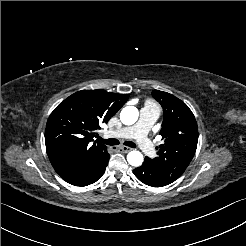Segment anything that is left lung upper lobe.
Instances as JSON below:
<instances>
[{"label": "left lung upper lobe", "instance_id": "obj_1", "mask_svg": "<svg viewBox=\"0 0 246 246\" xmlns=\"http://www.w3.org/2000/svg\"><path fill=\"white\" fill-rule=\"evenodd\" d=\"M153 97L161 104L164 119L160 135L164 144L160 145L155 165L162 171L178 179L192 160L198 142V127L188 106L167 92L153 90Z\"/></svg>", "mask_w": 246, "mask_h": 246}]
</instances>
